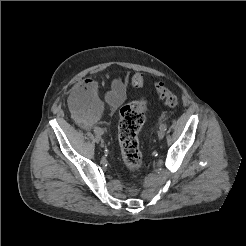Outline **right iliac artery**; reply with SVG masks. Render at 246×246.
<instances>
[{"label":"right iliac artery","mask_w":246,"mask_h":246,"mask_svg":"<svg viewBox=\"0 0 246 246\" xmlns=\"http://www.w3.org/2000/svg\"><path fill=\"white\" fill-rule=\"evenodd\" d=\"M94 132H95V134H100V135L103 134V130L101 128H99V127H95L94 128Z\"/></svg>","instance_id":"82829eb1"}]
</instances>
